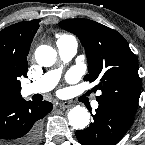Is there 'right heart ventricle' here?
I'll return each instance as SVG.
<instances>
[{"mask_svg":"<svg viewBox=\"0 0 145 145\" xmlns=\"http://www.w3.org/2000/svg\"><path fill=\"white\" fill-rule=\"evenodd\" d=\"M65 38H68V37H67V36H61L60 39H65ZM60 39H59V40H60Z\"/></svg>","mask_w":145,"mask_h":145,"instance_id":"1","label":"right heart ventricle"}]
</instances>
